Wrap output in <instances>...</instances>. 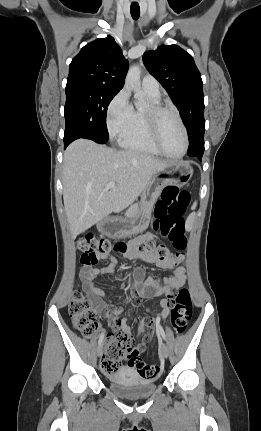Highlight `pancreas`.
Instances as JSON below:
<instances>
[{"label":"pancreas","mask_w":261,"mask_h":431,"mask_svg":"<svg viewBox=\"0 0 261 431\" xmlns=\"http://www.w3.org/2000/svg\"><path fill=\"white\" fill-rule=\"evenodd\" d=\"M138 211H139V206L136 203L130 206V208L126 211L125 215L128 218H133L137 215Z\"/></svg>","instance_id":"cf45deb5"}]
</instances>
